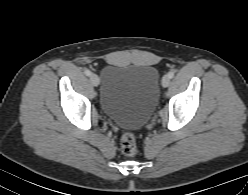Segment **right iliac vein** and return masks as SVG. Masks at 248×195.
Instances as JSON below:
<instances>
[{
	"label": "right iliac vein",
	"mask_w": 248,
	"mask_h": 195,
	"mask_svg": "<svg viewBox=\"0 0 248 195\" xmlns=\"http://www.w3.org/2000/svg\"><path fill=\"white\" fill-rule=\"evenodd\" d=\"M90 81L94 86L99 85V78H98V76L96 74H91Z\"/></svg>",
	"instance_id": "right-iliac-vein-1"
}]
</instances>
